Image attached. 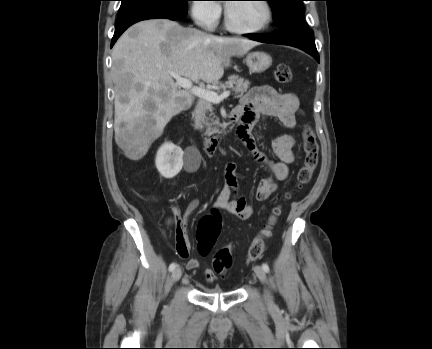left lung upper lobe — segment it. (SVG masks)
I'll return each mask as SVG.
<instances>
[{"instance_id": "left-lung-upper-lobe-1", "label": "left lung upper lobe", "mask_w": 432, "mask_h": 349, "mask_svg": "<svg viewBox=\"0 0 432 349\" xmlns=\"http://www.w3.org/2000/svg\"><path fill=\"white\" fill-rule=\"evenodd\" d=\"M274 13V24L279 29L309 31L304 20V0H266Z\"/></svg>"}]
</instances>
